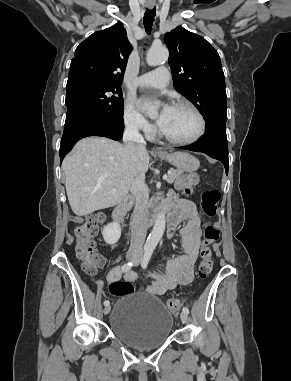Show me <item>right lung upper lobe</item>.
Masks as SVG:
<instances>
[{
	"mask_svg": "<svg viewBox=\"0 0 291 381\" xmlns=\"http://www.w3.org/2000/svg\"><path fill=\"white\" fill-rule=\"evenodd\" d=\"M130 50L131 45L122 23L95 32L76 48L68 81L82 78L119 85L123 80Z\"/></svg>",
	"mask_w": 291,
	"mask_h": 381,
	"instance_id": "cb5924a9",
	"label": "right lung upper lobe"
}]
</instances>
